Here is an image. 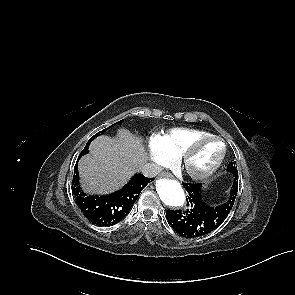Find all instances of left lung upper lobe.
Listing matches in <instances>:
<instances>
[{"label":"left lung upper lobe","mask_w":295,"mask_h":295,"mask_svg":"<svg viewBox=\"0 0 295 295\" xmlns=\"http://www.w3.org/2000/svg\"><path fill=\"white\" fill-rule=\"evenodd\" d=\"M235 164H236V162H234V161L230 162L229 165L227 166V170L229 172H235V171H237V167H236Z\"/></svg>","instance_id":"obj_1"}]
</instances>
